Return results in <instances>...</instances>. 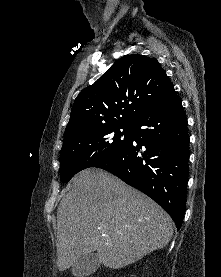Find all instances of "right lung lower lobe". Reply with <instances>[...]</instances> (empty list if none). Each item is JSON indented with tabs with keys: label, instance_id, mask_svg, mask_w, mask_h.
I'll list each match as a JSON object with an SVG mask.
<instances>
[{
	"label": "right lung lower lobe",
	"instance_id": "right-lung-lower-lobe-1",
	"mask_svg": "<svg viewBox=\"0 0 221 277\" xmlns=\"http://www.w3.org/2000/svg\"><path fill=\"white\" fill-rule=\"evenodd\" d=\"M130 143L96 163L156 201L180 229L186 207L189 135L180 98L173 90L132 124Z\"/></svg>",
	"mask_w": 221,
	"mask_h": 277
}]
</instances>
